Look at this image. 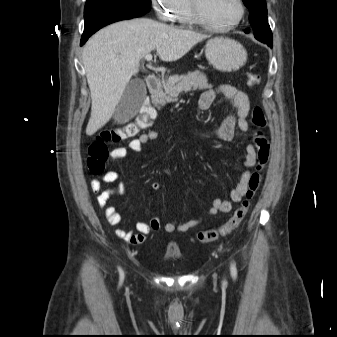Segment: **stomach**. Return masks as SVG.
<instances>
[{
	"label": "stomach",
	"instance_id": "obj_1",
	"mask_svg": "<svg viewBox=\"0 0 337 337\" xmlns=\"http://www.w3.org/2000/svg\"><path fill=\"white\" fill-rule=\"evenodd\" d=\"M206 58L219 71L231 72L240 69L247 61V51L235 40L218 37L206 43Z\"/></svg>",
	"mask_w": 337,
	"mask_h": 337
}]
</instances>
